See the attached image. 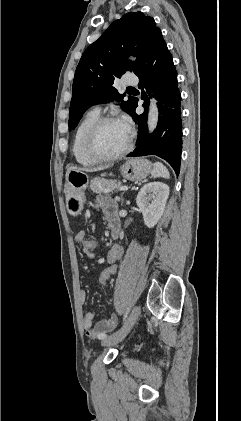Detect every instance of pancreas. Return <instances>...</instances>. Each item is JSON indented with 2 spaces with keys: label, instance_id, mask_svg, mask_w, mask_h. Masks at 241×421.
Segmentation results:
<instances>
[{
  "label": "pancreas",
  "instance_id": "pancreas-1",
  "mask_svg": "<svg viewBox=\"0 0 241 421\" xmlns=\"http://www.w3.org/2000/svg\"><path fill=\"white\" fill-rule=\"evenodd\" d=\"M121 186V181L102 178H94L90 183V189L96 194L112 192L113 190H118Z\"/></svg>",
  "mask_w": 241,
  "mask_h": 421
}]
</instances>
